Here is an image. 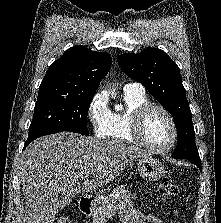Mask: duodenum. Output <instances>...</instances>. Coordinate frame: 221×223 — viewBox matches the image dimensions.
I'll return each mask as SVG.
<instances>
[{
	"label": "duodenum",
	"instance_id": "410a0bca",
	"mask_svg": "<svg viewBox=\"0 0 221 223\" xmlns=\"http://www.w3.org/2000/svg\"><path fill=\"white\" fill-rule=\"evenodd\" d=\"M79 209L82 215L87 216L90 214L92 209L91 199L88 197H83L79 201Z\"/></svg>",
	"mask_w": 221,
	"mask_h": 223
}]
</instances>
